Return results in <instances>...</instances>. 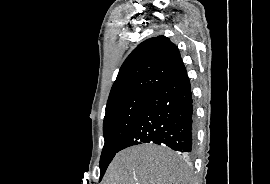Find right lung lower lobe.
<instances>
[{
  "mask_svg": "<svg viewBox=\"0 0 270 184\" xmlns=\"http://www.w3.org/2000/svg\"><path fill=\"white\" fill-rule=\"evenodd\" d=\"M195 113L191 85L185 67L151 94L119 146L155 143L173 150L192 152Z\"/></svg>",
  "mask_w": 270,
  "mask_h": 184,
  "instance_id": "obj_1",
  "label": "right lung lower lobe"
}]
</instances>
